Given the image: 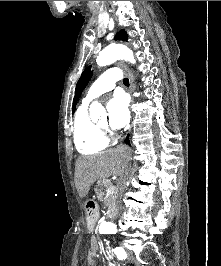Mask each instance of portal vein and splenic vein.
Returning a JSON list of instances; mask_svg holds the SVG:
<instances>
[{"label":"portal vein and splenic vein","mask_w":221,"mask_h":266,"mask_svg":"<svg viewBox=\"0 0 221 266\" xmlns=\"http://www.w3.org/2000/svg\"><path fill=\"white\" fill-rule=\"evenodd\" d=\"M115 187L113 185H111L108 189H107V192L108 193H112L114 191Z\"/></svg>","instance_id":"portal-vein-and-splenic-vein-1"}]
</instances>
